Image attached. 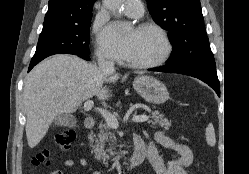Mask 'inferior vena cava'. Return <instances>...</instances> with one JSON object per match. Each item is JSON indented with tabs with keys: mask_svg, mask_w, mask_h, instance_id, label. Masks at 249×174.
<instances>
[{
	"mask_svg": "<svg viewBox=\"0 0 249 174\" xmlns=\"http://www.w3.org/2000/svg\"><path fill=\"white\" fill-rule=\"evenodd\" d=\"M98 67L105 74H112L115 71L113 62L107 61L103 58L98 59Z\"/></svg>",
	"mask_w": 249,
	"mask_h": 174,
	"instance_id": "602c4592",
	"label": "inferior vena cava"
}]
</instances>
